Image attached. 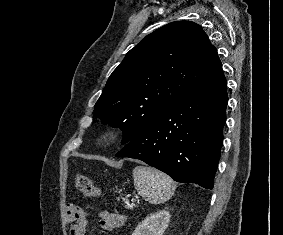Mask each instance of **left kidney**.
<instances>
[{
	"mask_svg": "<svg viewBox=\"0 0 283 235\" xmlns=\"http://www.w3.org/2000/svg\"><path fill=\"white\" fill-rule=\"evenodd\" d=\"M170 221V213L166 210L147 216L134 230L132 235H163Z\"/></svg>",
	"mask_w": 283,
	"mask_h": 235,
	"instance_id": "left-kidney-1",
	"label": "left kidney"
}]
</instances>
